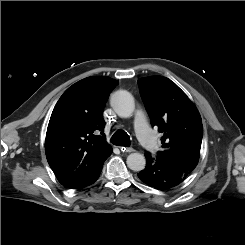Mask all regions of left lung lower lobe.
<instances>
[{
	"mask_svg": "<svg viewBox=\"0 0 245 245\" xmlns=\"http://www.w3.org/2000/svg\"><path fill=\"white\" fill-rule=\"evenodd\" d=\"M146 167L138 173L139 179L158 190L171 189L182 183L189 174L145 154Z\"/></svg>",
	"mask_w": 245,
	"mask_h": 245,
	"instance_id": "1",
	"label": "left lung lower lobe"
}]
</instances>
